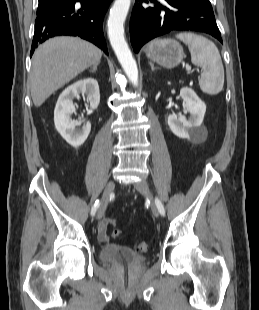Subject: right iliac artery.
<instances>
[{
  "label": "right iliac artery",
  "mask_w": 259,
  "mask_h": 310,
  "mask_svg": "<svg viewBox=\"0 0 259 310\" xmlns=\"http://www.w3.org/2000/svg\"><path fill=\"white\" fill-rule=\"evenodd\" d=\"M100 206V202L99 200H96L95 204L93 205L92 209H91V215L94 216L97 209L99 208Z\"/></svg>",
  "instance_id": "right-iliac-artery-1"
}]
</instances>
